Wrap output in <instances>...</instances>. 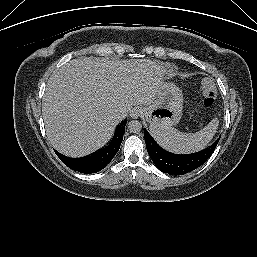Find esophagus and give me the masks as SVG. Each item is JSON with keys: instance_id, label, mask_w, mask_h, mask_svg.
Instances as JSON below:
<instances>
[{"instance_id": "1", "label": "esophagus", "mask_w": 257, "mask_h": 257, "mask_svg": "<svg viewBox=\"0 0 257 257\" xmlns=\"http://www.w3.org/2000/svg\"><path fill=\"white\" fill-rule=\"evenodd\" d=\"M143 113V110L141 107H134L131 111H130V116L133 119H137L138 117H140Z\"/></svg>"}]
</instances>
